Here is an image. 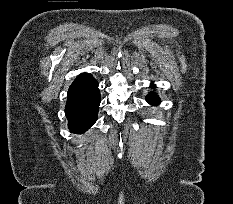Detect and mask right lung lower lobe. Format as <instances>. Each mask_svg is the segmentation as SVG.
Segmentation results:
<instances>
[{"instance_id":"1","label":"right lung lower lobe","mask_w":233,"mask_h":204,"mask_svg":"<svg viewBox=\"0 0 233 204\" xmlns=\"http://www.w3.org/2000/svg\"><path fill=\"white\" fill-rule=\"evenodd\" d=\"M65 114L69 129L81 134L89 129L97 119L100 93L97 81L83 73L72 83L67 94Z\"/></svg>"}]
</instances>
